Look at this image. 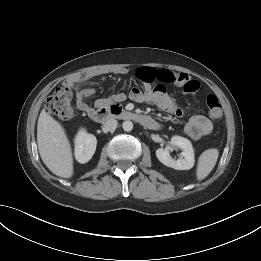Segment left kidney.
Returning a JSON list of instances; mask_svg holds the SVG:
<instances>
[{
	"label": "left kidney",
	"instance_id": "left-kidney-1",
	"mask_svg": "<svg viewBox=\"0 0 261 261\" xmlns=\"http://www.w3.org/2000/svg\"><path fill=\"white\" fill-rule=\"evenodd\" d=\"M170 144L176 146L182 150V158L178 160L173 159L169 154L168 148H158L156 150V156L158 160L164 165L174 168L176 170H189L194 166V150L191 142L181 136H173Z\"/></svg>",
	"mask_w": 261,
	"mask_h": 261
}]
</instances>
